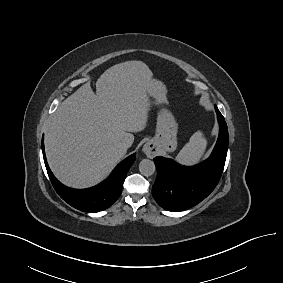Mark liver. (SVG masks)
I'll use <instances>...</instances> for the list:
<instances>
[{"label":"liver","mask_w":283,"mask_h":283,"mask_svg":"<svg viewBox=\"0 0 283 283\" xmlns=\"http://www.w3.org/2000/svg\"><path fill=\"white\" fill-rule=\"evenodd\" d=\"M159 89L145 63L126 61L99 77L96 94L87 83L65 99L45 132L46 156L54 175L74 188L102 181L126 154L123 140L132 144V132L145 128L147 94Z\"/></svg>","instance_id":"obj_1"}]
</instances>
